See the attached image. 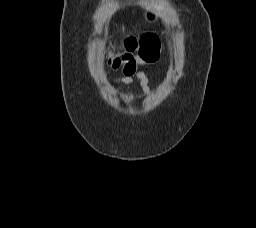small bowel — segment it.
Here are the masks:
<instances>
[{
	"label": "small bowel",
	"instance_id": "obj_1",
	"mask_svg": "<svg viewBox=\"0 0 256 228\" xmlns=\"http://www.w3.org/2000/svg\"><path fill=\"white\" fill-rule=\"evenodd\" d=\"M154 61L155 60L143 57L139 53H124L112 61V67L122 70L123 76L118 79L120 82L130 84L137 81L143 93L149 94L151 88L149 86L148 77L144 72L138 71L137 68L139 66L148 65Z\"/></svg>",
	"mask_w": 256,
	"mask_h": 228
}]
</instances>
